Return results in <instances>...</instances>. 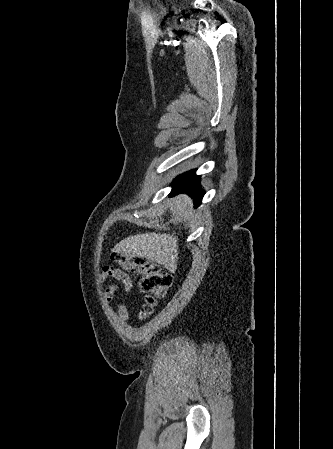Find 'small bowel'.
<instances>
[{
	"mask_svg": "<svg viewBox=\"0 0 333 449\" xmlns=\"http://www.w3.org/2000/svg\"><path fill=\"white\" fill-rule=\"evenodd\" d=\"M108 277H112L121 283V286L117 284H111L108 286L104 292V299L108 304H111L115 294L118 291H122L123 293H128L132 287V279L125 271L122 269L106 265L103 267L102 272L99 274L98 278L100 282H105ZM118 319L121 322H126L128 320L129 314L125 304H121L118 309L113 310Z\"/></svg>",
	"mask_w": 333,
	"mask_h": 449,
	"instance_id": "1",
	"label": "small bowel"
}]
</instances>
